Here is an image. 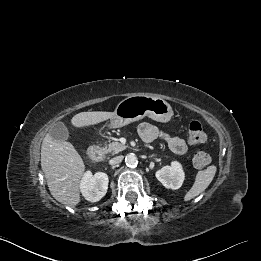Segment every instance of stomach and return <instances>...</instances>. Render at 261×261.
<instances>
[{
  "instance_id": "obj_1",
  "label": "stomach",
  "mask_w": 261,
  "mask_h": 261,
  "mask_svg": "<svg viewBox=\"0 0 261 261\" xmlns=\"http://www.w3.org/2000/svg\"><path fill=\"white\" fill-rule=\"evenodd\" d=\"M146 116L158 122H168L173 116V110L161 97L134 94L119 102L110 119V127H122Z\"/></svg>"
}]
</instances>
